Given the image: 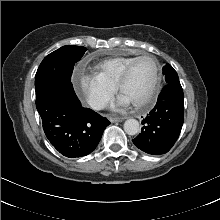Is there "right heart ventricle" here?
<instances>
[{
	"label": "right heart ventricle",
	"mask_w": 220,
	"mask_h": 220,
	"mask_svg": "<svg viewBox=\"0 0 220 220\" xmlns=\"http://www.w3.org/2000/svg\"><path fill=\"white\" fill-rule=\"evenodd\" d=\"M134 58V55L112 57L93 65V71L95 75L116 87L124 69Z\"/></svg>",
	"instance_id": "right-heart-ventricle-1"
}]
</instances>
